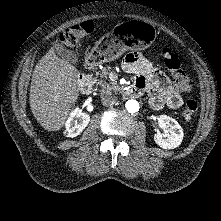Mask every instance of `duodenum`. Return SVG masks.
I'll list each match as a JSON object with an SVG mask.
<instances>
[{
    "label": "duodenum",
    "mask_w": 221,
    "mask_h": 221,
    "mask_svg": "<svg viewBox=\"0 0 221 221\" xmlns=\"http://www.w3.org/2000/svg\"><path fill=\"white\" fill-rule=\"evenodd\" d=\"M77 84L80 90L85 93H88L92 87V81L86 73H79L77 75ZM127 94L133 97L139 96L138 90L134 85L130 86V88L127 90Z\"/></svg>",
    "instance_id": "obj_1"
}]
</instances>
